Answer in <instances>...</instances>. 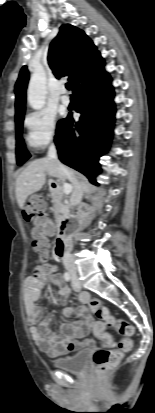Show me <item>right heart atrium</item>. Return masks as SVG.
<instances>
[{
    "mask_svg": "<svg viewBox=\"0 0 155 413\" xmlns=\"http://www.w3.org/2000/svg\"><path fill=\"white\" fill-rule=\"evenodd\" d=\"M24 125L27 130V142L36 151L44 149L55 139V117L47 111H35L28 114Z\"/></svg>",
    "mask_w": 155,
    "mask_h": 413,
    "instance_id": "obj_1",
    "label": "right heart atrium"
}]
</instances>
